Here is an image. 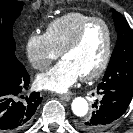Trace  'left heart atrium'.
I'll return each mask as SVG.
<instances>
[{
    "label": "left heart atrium",
    "instance_id": "39dd6f15",
    "mask_svg": "<svg viewBox=\"0 0 133 133\" xmlns=\"http://www.w3.org/2000/svg\"><path fill=\"white\" fill-rule=\"evenodd\" d=\"M80 77L77 69L68 60L63 59L48 71L39 74L36 78V84L41 89L63 93Z\"/></svg>",
    "mask_w": 133,
    "mask_h": 133
}]
</instances>
